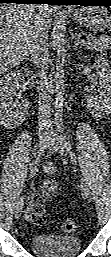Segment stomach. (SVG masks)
<instances>
[{"mask_svg": "<svg viewBox=\"0 0 111 257\" xmlns=\"http://www.w3.org/2000/svg\"><path fill=\"white\" fill-rule=\"evenodd\" d=\"M73 18L90 30L102 31L111 22V15L105 7H83L76 9Z\"/></svg>", "mask_w": 111, "mask_h": 257, "instance_id": "stomach-1", "label": "stomach"}]
</instances>
